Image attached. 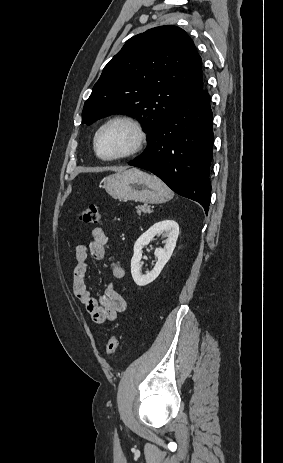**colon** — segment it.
<instances>
[{
  "label": "colon",
  "instance_id": "1",
  "mask_svg": "<svg viewBox=\"0 0 283 463\" xmlns=\"http://www.w3.org/2000/svg\"><path fill=\"white\" fill-rule=\"evenodd\" d=\"M79 219L86 224H97L101 220L99 208L94 204H88L79 214ZM119 346V338L113 335L109 338L106 353L110 356L114 355Z\"/></svg>",
  "mask_w": 283,
  "mask_h": 463
}]
</instances>
